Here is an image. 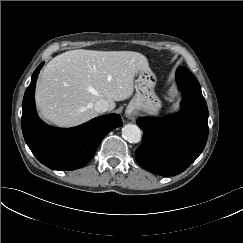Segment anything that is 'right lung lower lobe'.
Wrapping results in <instances>:
<instances>
[{
	"label": "right lung lower lobe",
	"mask_w": 243,
	"mask_h": 243,
	"mask_svg": "<svg viewBox=\"0 0 243 243\" xmlns=\"http://www.w3.org/2000/svg\"><path fill=\"white\" fill-rule=\"evenodd\" d=\"M43 63L34 71L22 104V132L35 157L54 170H75L85 166L94 156L102 139L114 128L122 126L118 114L95 118L70 129L55 128L37 116L34 90Z\"/></svg>",
	"instance_id": "98d812e1"
}]
</instances>
